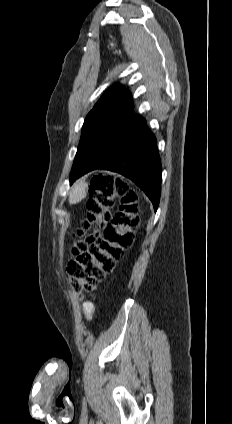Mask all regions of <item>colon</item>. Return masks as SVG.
Masks as SVG:
<instances>
[{
	"label": "colon",
	"mask_w": 232,
	"mask_h": 424,
	"mask_svg": "<svg viewBox=\"0 0 232 424\" xmlns=\"http://www.w3.org/2000/svg\"><path fill=\"white\" fill-rule=\"evenodd\" d=\"M114 198L120 200V208L111 215ZM138 212V195L125 181L102 174L91 179L84 228L94 231L74 243L67 263L75 291H94L113 270L132 244Z\"/></svg>",
	"instance_id": "obj_1"
}]
</instances>
